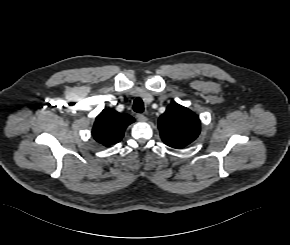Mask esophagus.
I'll return each instance as SVG.
<instances>
[{
    "label": "esophagus",
    "instance_id": "esophagus-1",
    "mask_svg": "<svg viewBox=\"0 0 290 245\" xmlns=\"http://www.w3.org/2000/svg\"><path fill=\"white\" fill-rule=\"evenodd\" d=\"M136 117L139 121H146V117L143 114H137Z\"/></svg>",
    "mask_w": 290,
    "mask_h": 245
}]
</instances>
